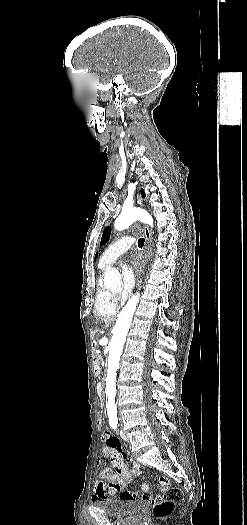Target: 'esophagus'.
I'll return each instance as SVG.
<instances>
[{
  "label": "esophagus",
  "mask_w": 247,
  "mask_h": 525,
  "mask_svg": "<svg viewBox=\"0 0 247 525\" xmlns=\"http://www.w3.org/2000/svg\"><path fill=\"white\" fill-rule=\"evenodd\" d=\"M137 203L140 206L143 205V201H142L140 195H137ZM144 233H145V237H146V242H145V247H144L145 259H144L143 265H146V261L149 259L150 253H151V247H150V245H151V234H150L149 228L147 226H144Z\"/></svg>",
  "instance_id": "1"
}]
</instances>
